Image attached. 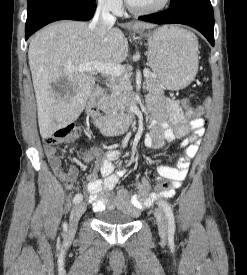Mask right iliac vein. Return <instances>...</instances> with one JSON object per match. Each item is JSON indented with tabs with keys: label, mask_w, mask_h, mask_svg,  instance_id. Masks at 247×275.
<instances>
[{
	"label": "right iliac vein",
	"mask_w": 247,
	"mask_h": 275,
	"mask_svg": "<svg viewBox=\"0 0 247 275\" xmlns=\"http://www.w3.org/2000/svg\"><path fill=\"white\" fill-rule=\"evenodd\" d=\"M85 210H86V204L84 202H79L73 207L70 215V222H69V229H68L69 237H73L75 235L78 221L82 216V214L85 212Z\"/></svg>",
	"instance_id": "1"
}]
</instances>
